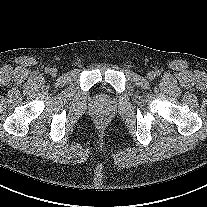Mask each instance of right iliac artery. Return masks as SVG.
Here are the masks:
<instances>
[{
    "mask_svg": "<svg viewBox=\"0 0 207 207\" xmlns=\"http://www.w3.org/2000/svg\"><path fill=\"white\" fill-rule=\"evenodd\" d=\"M50 70H51V69H50V68H48V67H47V68H45L46 73H49V72H50Z\"/></svg>",
    "mask_w": 207,
    "mask_h": 207,
    "instance_id": "obj_1",
    "label": "right iliac artery"
}]
</instances>
